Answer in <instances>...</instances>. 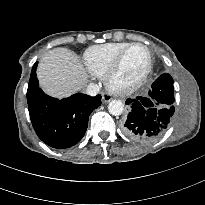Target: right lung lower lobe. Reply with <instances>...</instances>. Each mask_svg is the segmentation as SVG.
<instances>
[{"label":"right lung lower lobe","instance_id":"right-lung-lower-lobe-1","mask_svg":"<svg viewBox=\"0 0 205 205\" xmlns=\"http://www.w3.org/2000/svg\"><path fill=\"white\" fill-rule=\"evenodd\" d=\"M37 62L34 64L27 90L30 119L38 137L47 145L65 149L84 136L88 118L101 105V95L75 94L58 100L46 95L38 86Z\"/></svg>","mask_w":205,"mask_h":205}]
</instances>
